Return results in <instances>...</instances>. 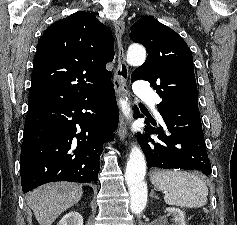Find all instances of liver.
<instances>
[{
    "label": "liver",
    "mask_w": 237,
    "mask_h": 225,
    "mask_svg": "<svg viewBox=\"0 0 237 225\" xmlns=\"http://www.w3.org/2000/svg\"><path fill=\"white\" fill-rule=\"evenodd\" d=\"M83 195L82 186L55 182L40 186L27 195V204L40 225H51L62 212L76 204Z\"/></svg>",
    "instance_id": "liver-1"
}]
</instances>
